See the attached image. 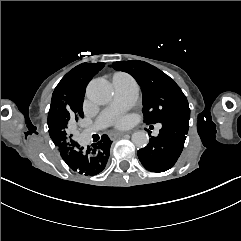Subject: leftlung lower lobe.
Wrapping results in <instances>:
<instances>
[{"instance_id":"left-lung-lower-lobe-1","label":"left lung lower lobe","mask_w":241,"mask_h":241,"mask_svg":"<svg viewBox=\"0 0 241 241\" xmlns=\"http://www.w3.org/2000/svg\"><path fill=\"white\" fill-rule=\"evenodd\" d=\"M189 117H180L161 122L157 137H151L149 144L138 150L142 165L152 172H164L178 160L189 128Z\"/></svg>"}]
</instances>
